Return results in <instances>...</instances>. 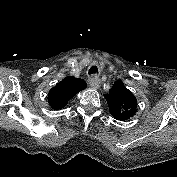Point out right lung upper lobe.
Instances as JSON below:
<instances>
[{
  "instance_id": "cb5924a9",
  "label": "right lung upper lobe",
  "mask_w": 177,
  "mask_h": 177,
  "mask_svg": "<svg viewBox=\"0 0 177 177\" xmlns=\"http://www.w3.org/2000/svg\"><path fill=\"white\" fill-rule=\"evenodd\" d=\"M85 86L82 80L67 77L49 91L48 102L53 109H61Z\"/></svg>"
}]
</instances>
